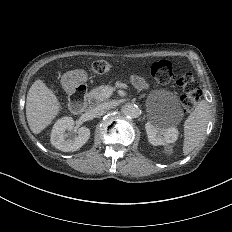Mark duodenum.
Returning <instances> with one entry per match:
<instances>
[{
  "instance_id": "obj_1",
  "label": "duodenum",
  "mask_w": 232,
  "mask_h": 232,
  "mask_svg": "<svg viewBox=\"0 0 232 232\" xmlns=\"http://www.w3.org/2000/svg\"><path fill=\"white\" fill-rule=\"evenodd\" d=\"M64 87L70 96L72 112L82 113L86 105L87 86L78 78H70L65 81Z\"/></svg>"
}]
</instances>
